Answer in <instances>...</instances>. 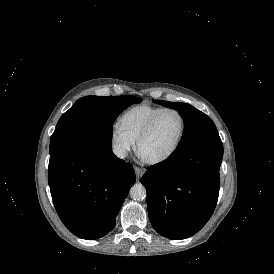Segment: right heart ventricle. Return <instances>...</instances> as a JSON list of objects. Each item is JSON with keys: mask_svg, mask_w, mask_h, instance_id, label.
I'll list each match as a JSON object with an SVG mask.
<instances>
[{"mask_svg": "<svg viewBox=\"0 0 274 274\" xmlns=\"http://www.w3.org/2000/svg\"><path fill=\"white\" fill-rule=\"evenodd\" d=\"M162 109L148 104L133 106L122 113L118 124L125 134L135 141L147 123Z\"/></svg>", "mask_w": 274, "mask_h": 274, "instance_id": "1", "label": "right heart ventricle"}]
</instances>
